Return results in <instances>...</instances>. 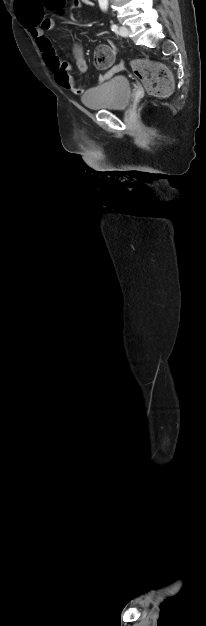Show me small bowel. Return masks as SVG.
<instances>
[{"mask_svg":"<svg viewBox=\"0 0 206 626\" xmlns=\"http://www.w3.org/2000/svg\"><path fill=\"white\" fill-rule=\"evenodd\" d=\"M81 2L80 0H74L73 1V7L78 8L80 7ZM35 18L32 17L31 20H34ZM36 24H32L29 25L28 24V28H30V34L32 36V38L35 40L46 64L48 65L50 71L54 74L55 80L56 82L63 87L64 89L77 94V95H81L85 92V87L78 85L74 78L71 76L70 71H71V66L69 65V63L60 60L55 53V49L53 47V44L51 42V40L45 35L46 31H50L53 29L54 27V22L52 19L50 18H39L38 20H36ZM73 54L75 57V61H76V66L78 68V70L80 72H86L87 71V62L84 58V52L82 47L79 44H76L73 48ZM122 68V64H117L115 65L110 71H108L105 74H101L98 77V82L102 83L106 80H108L113 74L117 73L118 71H120Z\"/></svg>","mask_w":206,"mask_h":626,"instance_id":"small-bowel-1","label":"small bowel"}]
</instances>
